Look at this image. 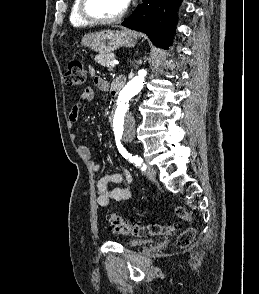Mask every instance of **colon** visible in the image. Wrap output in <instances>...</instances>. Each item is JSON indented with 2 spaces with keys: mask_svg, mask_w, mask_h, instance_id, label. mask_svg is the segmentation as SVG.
I'll use <instances>...</instances> for the list:
<instances>
[{
  "mask_svg": "<svg viewBox=\"0 0 259 294\" xmlns=\"http://www.w3.org/2000/svg\"><path fill=\"white\" fill-rule=\"evenodd\" d=\"M86 81V72L80 61L72 60L68 63V68L65 73V84L70 87L82 86ZM176 215L184 220H189L190 216L188 212L178 207L175 210ZM108 228L119 235L135 236V237H150V236H162L172 234L176 231V224H140L124 219L119 214H110L108 219ZM195 237V230L193 228H187L177 238V245L179 247H187L191 244Z\"/></svg>",
  "mask_w": 259,
  "mask_h": 294,
  "instance_id": "obj_1",
  "label": "colon"
}]
</instances>
